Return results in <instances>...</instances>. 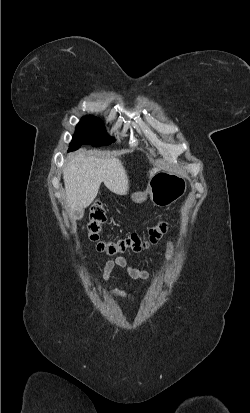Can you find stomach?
I'll return each mask as SVG.
<instances>
[{
	"mask_svg": "<svg viewBox=\"0 0 250 413\" xmlns=\"http://www.w3.org/2000/svg\"><path fill=\"white\" fill-rule=\"evenodd\" d=\"M186 190L187 181L183 176L163 171L150 178L146 192L133 193L131 199L141 204L147 200L149 194L154 205L167 207L181 199Z\"/></svg>",
	"mask_w": 250,
	"mask_h": 413,
	"instance_id": "obj_1",
	"label": "stomach"
}]
</instances>
